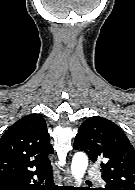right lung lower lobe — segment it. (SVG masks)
Masks as SVG:
<instances>
[{
  "label": "right lung lower lobe",
  "instance_id": "98d812e1",
  "mask_svg": "<svg viewBox=\"0 0 135 190\" xmlns=\"http://www.w3.org/2000/svg\"><path fill=\"white\" fill-rule=\"evenodd\" d=\"M37 175L40 182L45 184L39 188L38 185H30L33 176ZM39 182V183H40ZM58 190L53 184L52 167L41 172L13 173L0 177V190Z\"/></svg>",
  "mask_w": 135,
  "mask_h": 190
}]
</instances>
